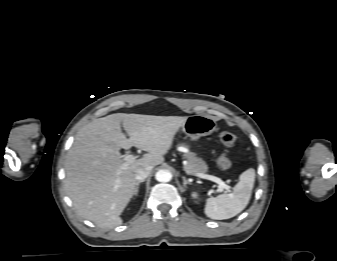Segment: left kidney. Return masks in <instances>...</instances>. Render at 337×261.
<instances>
[{
	"label": "left kidney",
	"mask_w": 337,
	"mask_h": 261,
	"mask_svg": "<svg viewBox=\"0 0 337 261\" xmlns=\"http://www.w3.org/2000/svg\"><path fill=\"white\" fill-rule=\"evenodd\" d=\"M192 196H193L194 198H197V194H196V193H193Z\"/></svg>",
	"instance_id": "left-kidney-1"
}]
</instances>
